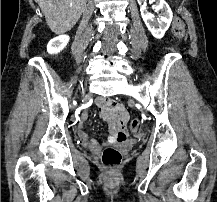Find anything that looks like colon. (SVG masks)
Returning <instances> with one entry per match:
<instances>
[{
    "label": "colon",
    "mask_w": 217,
    "mask_h": 202,
    "mask_svg": "<svg viewBox=\"0 0 217 202\" xmlns=\"http://www.w3.org/2000/svg\"><path fill=\"white\" fill-rule=\"evenodd\" d=\"M173 34L177 39H186V27L185 22L180 16H176L172 26ZM139 126L138 119H132L130 122V129L133 135H138L139 131L136 130ZM102 162L108 168L109 177H116L115 169L120 165L122 161V155L115 147H106L102 153Z\"/></svg>",
    "instance_id": "obj_1"
}]
</instances>
